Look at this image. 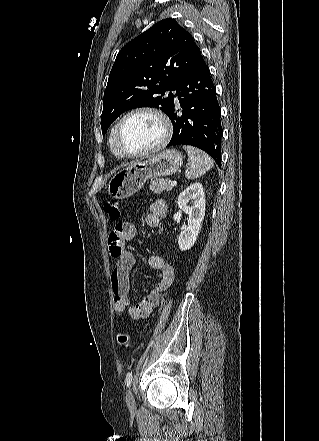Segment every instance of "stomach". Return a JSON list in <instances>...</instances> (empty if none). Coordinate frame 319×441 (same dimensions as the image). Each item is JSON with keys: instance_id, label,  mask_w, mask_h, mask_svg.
<instances>
[{"instance_id": "0dacf381", "label": "stomach", "mask_w": 319, "mask_h": 441, "mask_svg": "<svg viewBox=\"0 0 319 441\" xmlns=\"http://www.w3.org/2000/svg\"><path fill=\"white\" fill-rule=\"evenodd\" d=\"M183 163L181 152L167 149L146 160H137L113 175L108 183L111 197L125 199L140 190L147 179L175 174Z\"/></svg>"}]
</instances>
